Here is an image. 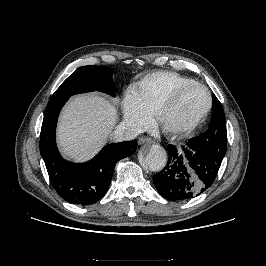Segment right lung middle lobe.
<instances>
[{
  "label": "right lung middle lobe",
  "mask_w": 266,
  "mask_h": 266,
  "mask_svg": "<svg viewBox=\"0 0 266 266\" xmlns=\"http://www.w3.org/2000/svg\"><path fill=\"white\" fill-rule=\"evenodd\" d=\"M101 91L114 96L112 70L103 66H83L71 74L53 95H74L83 92Z\"/></svg>",
  "instance_id": "1"
}]
</instances>
